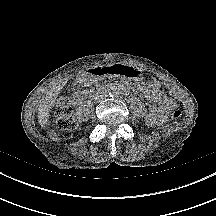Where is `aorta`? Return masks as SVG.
I'll list each match as a JSON object with an SVG mask.
<instances>
[{"label":"aorta","instance_id":"762f6f07","mask_svg":"<svg viewBox=\"0 0 216 216\" xmlns=\"http://www.w3.org/2000/svg\"><path fill=\"white\" fill-rule=\"evenodd\" d=\"M109 93L112 97H118L120 95V89L117 87H112Z\"/></svg>","mask_w":216,"mask_h":216}]
</instances>
